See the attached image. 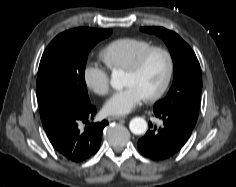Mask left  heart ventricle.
Wrapping results in <instances>:
<instances>
[{
    "mask_svg": "<svg viewBox=\"0 0 236 187\" xmlns=\"http://www.w3.org/2000/svg\"><path fill=\"white\" fill-rule=\"evenodd\" d=\"M167 70V62L161 53L151 55L141 71L132 74L126 71L125 86L137 87L144 97L155 92L163 83Z\"/></svg>",
    "mask_w": 236,
    "mask_h": 187,
    "instance_id": "obj_1",
    "label": "left heart ventricle"
}]
</instances>
